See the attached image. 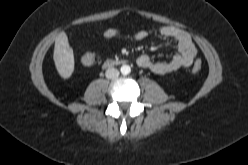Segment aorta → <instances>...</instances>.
<instances>
[{"label":"aorta","instance_id":"1","mask_svg":"<svg viewBox=\"0 0 248 165\" xmlns=\"http://www.w3.org/2000/svg\"><path fill=\"white\" fill-rule=\"evenodd\" d=\"M120 71L123 75H128L131 72V68L129 65H122Z\"/></svg>","mask_w":248,"mask_h":165}]
</instances>
